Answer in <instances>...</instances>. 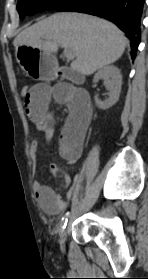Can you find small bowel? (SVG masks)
I'll list each match as a JSON object with an SVG mask.
<instances>
[{
    "label": "small bowel",
    "mask_w": 148,
    "mask_h": 279,
    "mask_svg": "<svg viewBox=\"0 0 148 279\" xmlns=\"http://www.w3.org/2000/svg\"><path fill=\"white\" fill-rule=\"evenodd\" d=\"M52 102L65 104L69 108L68 118L60 134L59 153L69 164H74L82 155L86 133L92 119L90 98L86 92L69 84L33 85L29 98L24 99L25 110L36 131L44 134L48 140L52 138L55 127V118L50 111ZM37 149L38 141L34 140L31 144L33 154ZM50 169L62 184H70L69 176L61 168L51 165ZM33 190L38 204L48 213H59L64 210L73 194L70 188L63 197L38 180L33 183Z\"/></svg>",
    "instance_id": "1"
}]
</instances>
